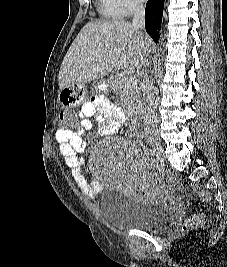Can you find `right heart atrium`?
Returning a JSON list of instances; mask_svg holds the SVG:
<instances>
[{
	"instance_id": "obj_1",
	"label": "right heart atrium",
	"mask_w": 227,
	"mask_h": 267,
	"mask_svg": "<svg viewBox=\"0 0 227 267\" xmlns=\"http://www.w3.org/2000/svg\"><path fill=\"white\" fill-rule=\"evenodd\" d=\"M122 16H129L142 7V0H114Z\"/></svg>"
}]
</instances>
